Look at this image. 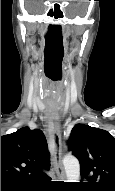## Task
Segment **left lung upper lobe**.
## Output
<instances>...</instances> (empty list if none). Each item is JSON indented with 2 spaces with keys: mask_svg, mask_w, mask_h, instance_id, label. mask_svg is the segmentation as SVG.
<instances>
[{
  "mask_svg": "<svg viewBox=\"0 0 115 191\" xmlns=\"http://www.w3.org/2000/svg\"><path fill=\"white\" fill-rule=\"evenodd\" d=\"M80 162L81 185L95 191H115V139L107 131L77 124L68 140Z\"/></svg>",
  "mask_w": 115,
  "mask_h": 191,
  "instance_id": "left-lung-upper-lobe-1",
  "label": "left lung upper lobe"
}]
</instances>
